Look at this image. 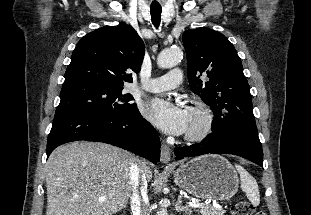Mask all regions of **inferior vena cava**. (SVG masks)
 I'll use <instances>...</instances> for the list:
<instances>
[{
	"instance_id": "inferior-vena-cava-1",
	"label": "inferior vena cava",
	"mask_w": 311,
	"mask_h": 215,
	"mask_svg": "<svg viewBox=\"0 0 311 215\" xmlns=\"http://www.w3.org/2000/svg\"><path fill=\"white\" fill-rule=\"evenodd\" d=\"M130 185L132 194L130 196L132 215H150L144 199L147 197V180L138 163L130 167Z\"/></svg>"
}]
</instances>
